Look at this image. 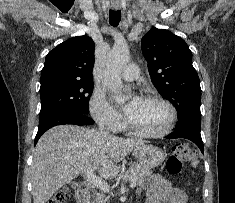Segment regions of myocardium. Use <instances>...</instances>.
Returning <instances> with one entry per match:
<instances>
[{
    "instance_id": "1",
    "label": "myocardium",
    "mask_w": 235,
    "mask_h": 203,
    "mask_svg": "<svg viewBox=\"0 0 235 203\" xmlns=\"http://www.w3.org/2000/svg\"><path fill=\"white\" fill-rule=\"evenodd\" d=\"M144 100L152 101V102H159L163 104L167 110H168V119L165 123V125L158 131L148 132L143 131L138 128H136L129 120V118L126 119V128L129 132H131L134 135L144 137V138H160L168 135L172 129L175 126L176 120H177V111L174 107V105L167 99L161 97V96H155V95H148L144 97Z\"/></svg>"
}]
</instances>
